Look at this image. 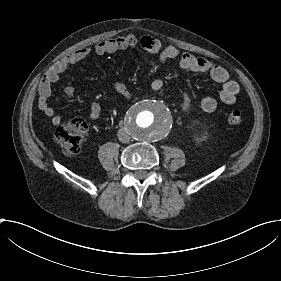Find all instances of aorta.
Returning a JSON list of instances; mask_svg holds the SVG:
<instances>
[{"mask_svg": "<svg viewBox=\"0 0 281 281\" xmlns=\"http://www.w3.org/2000/svg\"><path fill=\"white\" fill-rule=\"evenodd\" d=\"M125 119L129 134L142 142L161 140L168 135L173 122L166 105L150 99L134 104Z\"/></svg>", "mask_w": 281, "mask_h": 281, "instance_id": "obj_1", "label": "aorta"}]
</instances>
